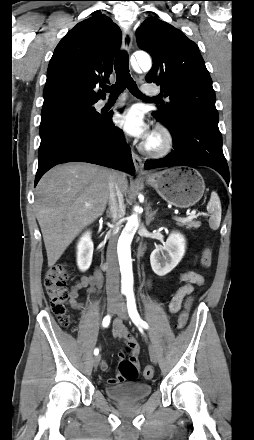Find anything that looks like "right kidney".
<instances>
[{
  "label": "right kidney",
  "instance_id": "1",
  "mask_svg": "<svg viewBox=\"0 0 254 440\" xmlns=\"http://www.w3.org/2000/svg\"><path fill=\"white\" fill-rule=\"evenodd\" d=\"M94 245L91 239V232L83 233L77 244V266L80 271L85 272L92 263Z\"/></svg>",
  "mask_w": 254,
  "mask_h": 440
}]
</instances>
